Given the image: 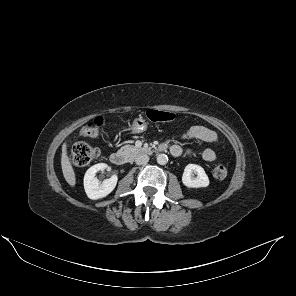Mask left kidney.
I'll return each mask as SVG.
<instances>
[{
  "label": "left kidney",
  "mask_w": 296,
  "mask_h": 296,
  "mask_svg": "<svg viewBox=\"0 0 296 296\" xmlns=\"http://www.w3.org/2000/svg\"><path fill=\"white\" fill-rule=\"evenodd\" d=\"M193 173L197 174V177H192ZM182 182L189 188L207 187L209 185V178L204 169L196 164H188L182 176Z\"/></svg>",
  "instance_id": "5707ae66"
}]
</instances>
